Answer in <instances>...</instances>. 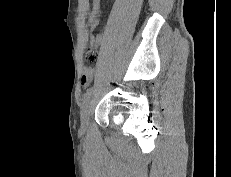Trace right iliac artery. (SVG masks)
<instances>
[{
    "label": "right iliac artery",
    "instance_id": "82829eb1",
    "mask_svg": "<svg viewBox=\"0 0 231 177\" xmlns=\"http://www.w3.org/2000/svg\"><path fill=\"white\" fill-rule=\"evenodd\" d=\"M93 88L90 87L87 89V91L84 93L83 99L84 102L90 97V95L92 94Z\"/></svg>",
    "mask_w": 231,
    "mask_h": 177
}]
</instances>
